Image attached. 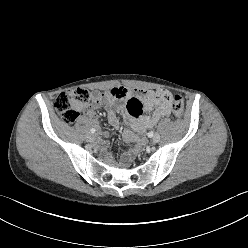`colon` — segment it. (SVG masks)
I'll use <instances>...</instances> for the list:
<instances>
[{
    "label": "colon",
    "mask_w": 248,
    "mask_h": 248,
    "mask_svg": "<svg viewBox=\"0 0 248 248\" xmlns=\"http://www.w3.org/2000/svg\"><path fill=\"white\" fill-rule=\"evenodd\" d=\"M162 96L172 101L174 116L181 118L184 112L183 99L179 94H172L167 90H161ZM92 96L87 90L77 89L71 93H61L55 100L54 108L60 114L62 119L70 124L76 121L79 116L80 109L86 107L93 102Z\"/></svg>",
    "instance_id": "colon-1"
}]
</instances>
